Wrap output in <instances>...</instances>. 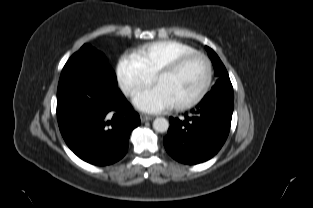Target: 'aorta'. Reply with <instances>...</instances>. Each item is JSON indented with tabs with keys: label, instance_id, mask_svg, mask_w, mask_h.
<instances>
[{
	"label": "aorta",
	"instance_id": "obj_1",
	"mask_svg": "<svg viewBox=\"0 0 313 208\" xmlns=\"http://www.w3.org/2000/svg\"><path fill=\"white\" fill-rule=\"evenodd\" d=\"M153 128L159 133H164L169 128V122L163 117H158L153 121Z\"/></svg>",
	"mask_w": 313,
	"mask_h": 208
}]
</instances>
